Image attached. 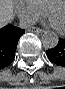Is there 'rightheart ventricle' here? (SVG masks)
I'll list each match as a JSON object with an SVG mask.
<instances>
[{"instance_id":"1","label":"right heart ventricle","mask_w":65,"mask_h":89,"mask_svg":"<svg viewBox=\"0 0 65 89\" xmlns=\"http://www.w3.org/2000/svg\"><path fill=\"white\" fill-rule=\"evenodd\" d=\"M35 2H37L40 6H42L43 8H46V6L55 0H34Z\"/></svg>"}]
</instances>
